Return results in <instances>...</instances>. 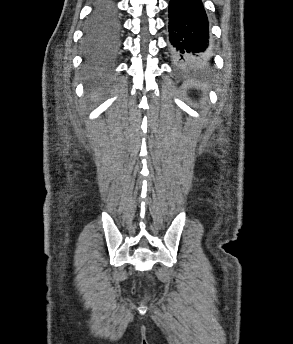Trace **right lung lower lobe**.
Segmentation results:
<instances>
[{
	"label": "right lung lower lobe",
	"instance_id": "98d812e1",
	"mask_svg": "<svg viewBox=\"0 0 293 344\" xmlns=\"http://www.w3.org/2000/svg\"><path fill=\"white\" fill-rule=\"evenodd\" d=\"M118 21V20H117ZM118 32H119V22H118V26H117V29L114 31V36H113V38H114V41L115 42H113L110 46H113V45H115L116 44V42H117V39H118Z\"/></svg>",
	"mask_w": 293,
	"mask_h": 344
}]
</instances>
